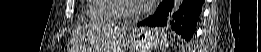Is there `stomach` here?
<instances>
[{
    "label": "stomach",
    "instance_id": "1",
    "mask_svg": "<svg viewBox=\"0 0 261 52\" xmlns=\"http://www.w3.org/2000/svg\"><path fill=\"white\" fill-rule=\"evenodd\" d=\"M162 32L158 29H139L125 38L129 52H153L161 42Z\"/></svg>",
    "mask_w": 261,
    "mask_h": 52
}]
</instances>
